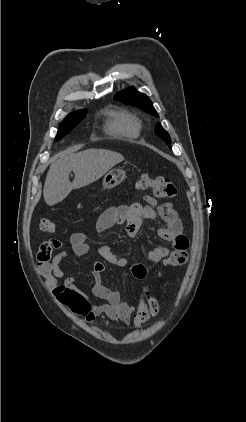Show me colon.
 <instances>
[{
    "label": "colon",
    "instance_id": "obj_1",
    "mask_svg": "<svg viewBox=\"0 0 246 422\" xmlns=\"http://www.w3.org/2000/svg\"><path fill=\"white\" fill-rule=\"evenodd\" d=\"M138 185L142 189H152L156 196L162 198H173L177 194L174 183L162 176H150L144 173L141 175ZM55 228V223L50 219H43L40 223V230L43 233H54ZM187 256V252L184 250H174L165 259V262L172 266L183 265L187 261ZM159 312L158 301L151 295L150 288L145 286L139 296L137 312L134 315L135 326L140 327L149 319L156 317Z\"/></svg>",
    "mask_w": 246,
    "mask_h": 422
}]
</instances>
